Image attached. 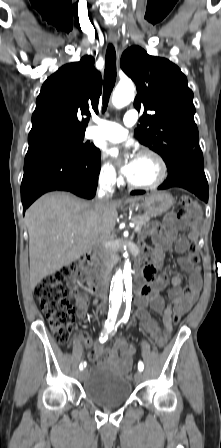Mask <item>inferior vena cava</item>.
Segmentation results:
<instances>
[{
    "mask_svg": "<svg viewBox=\"0 0 221 448\" xmlns=\"http://www.w3.org/2000/svg\"><path fill=\"white\" fill-rule=\"evenodd\" d=\"M115 182V175L103 178L99 182L98 197L95 199V207L101 209L112 197L111 183ZM98 258L103 265L104 271L110 258V250L107 247L106 240L100 242V248L97 251Z\"/></svg>",
    "mask_w": 221,
    "mask_h": 448,
    "instance_id": "1",
    "label": "inferior vena cava"
}]
</instances>
